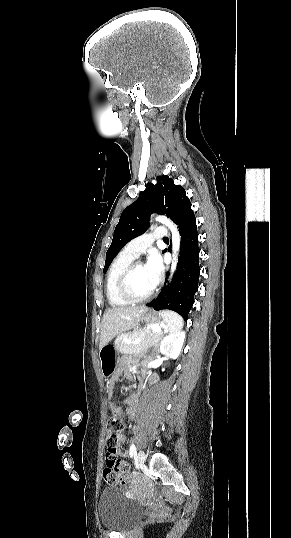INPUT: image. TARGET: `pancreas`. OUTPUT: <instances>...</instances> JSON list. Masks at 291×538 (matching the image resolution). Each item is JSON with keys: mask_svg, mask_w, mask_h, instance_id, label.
<instances>
[{"mask_svg": "<svg viewBox=\"0 0 291 538\" xmlns=\"http://www.w3.org/2000/svg\"><path fill=\"white\" fill-rule=\"evenodd\" d=\"M163 334L161 332H154L151 328H143L134 332H128L121 336V338L115 343L116 349L122 354H132L144 351L148 347L157 344L162 339ZM128 338L131 340L141 339L137 344H128L123 339Z\"/></svg>", "mask_w": 291, "mask_h": 538, "instance_id": "obj_1", "label": "pancreas"}]
</instances>
